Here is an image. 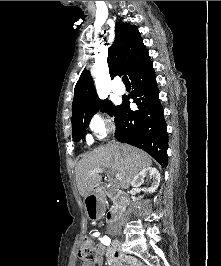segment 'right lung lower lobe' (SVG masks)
<instances>
[{
  "label": "right lung lower lobe",
  "instance_id": "1",
  "mask_svg": "<svg viewBox=\"0 0 221 266\" xmlns=\"http://www.w3.org/2000/svg\"><path fill=\"white\" fill-rule=\"evenodd\" d=\"M133 91L123 98L115 115V137L150 154L162 167L167 166L168 135L159 101L152 62L135 69L129 76ZM129 98L137 104L138 110L129 107Z\"/></svg>",
  "mask_w": 221,
  "mask_h": 266
}]
</instances>
